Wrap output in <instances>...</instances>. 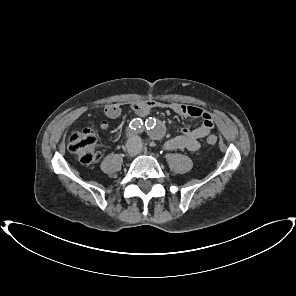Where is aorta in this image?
<instances>
[{
  "label": "aorta",
  "mask_w": 296,
  "mask_h": 296,
  "mask_svg": "<svg viewBox=\"0 0 296 296\" xmlns=\"http://www.w3.org/2000/svg\"><path fill=\"white\" fill-rule=\"evenodd\" d=\"M149 132L152 133L155 129V123L152 121L151 123H148Z\"/></svg>",
  "instance_id": "obj_1"
}]
</instances>
